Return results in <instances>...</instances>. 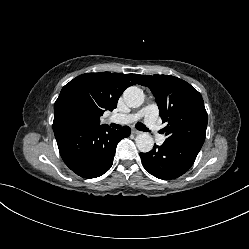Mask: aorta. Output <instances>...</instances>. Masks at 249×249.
Masks as SVG:
<instances>
[{"instance_id": "aorta-1", "label": "aorta", "mask_w": 249, "mask_h": 249, "mask_svg": "<svg viewBox=\"0 0 249 249\" xmlns=\"http://www.w3.org/2000/svg\"><path fill=\"white\" fill-rule=\"evenodd\" d=\"M123 98L129 107L136 108L144 102V93L140 88L131 86L124 91ZM135 141L140 152L146 153L153 149L154 140L149 133L143 132L139 134Z\"/></svg>"}]
</instances>
